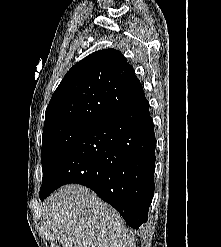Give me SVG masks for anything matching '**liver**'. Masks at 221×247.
Segmentation results:
<instances>
[{
    "instance_id": "liver-1",
    "label": "liver",
    "mask_w": 221,
    "mask_h": 247,
    "mask_svg": "<svg viewBox=\"0 0 221 247\" xmlns=\"http://www.w3.org/2000/svg\"><path fill=\"white\" fill-rule=\"evenodd\" d=\"M42 212L63 247H136L120 215L84 186L60 188L43 202Z\"/></svg>"
}]
</instances>
